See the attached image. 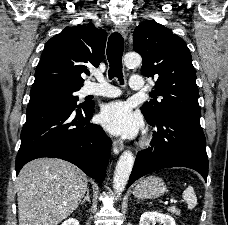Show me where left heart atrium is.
<instances>
[{
  "label": "left heart atrium",
  "mask_w": 228,
  "mask_h": 225,
  "mask_svg": "<svg viewBox=\"0 0 228 225\" xmlns=\"http://www.w3.org/2000/svg\"><path fill=\"white\" fill-rule=\"evenodd\" d=\"M100 121L105 129L116 136L134 137L140 130V117L125 102H113L103 107Z\"/></svg>",
  "instance_id": "left-heart-atrium-1"
}]
</instances>
